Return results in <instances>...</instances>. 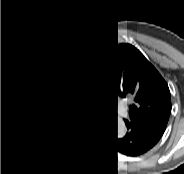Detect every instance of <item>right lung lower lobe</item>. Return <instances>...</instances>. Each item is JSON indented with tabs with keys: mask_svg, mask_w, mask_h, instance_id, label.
Instances as JSON below:
<instances>
[{
	"mask_svg": "<svg viewBox=\"0 0 184 174\" xmlns=\"http://www.w3.org/2000/svg\"><path fill=\"white\" fill-rule=\"evenodd\" d=\"M82 118L77 119L66 126L59 133L46 139L35 141L39 146L51 151H63L68 149L78 138L82 123Z\"/></svg>",
	"mask_w": 184,
	"mask_h": 174,
	"instance_id": "1",
	"label": "right lung lower lobe"
}]
</instances>
